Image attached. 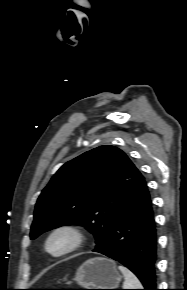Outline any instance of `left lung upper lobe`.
<instances>
[{
	"mask_svg": "<svg viewBox=\"0 0 187 290\" xmlns=\"http://www.w3.org/2000/svg\"><path fill=\"white\" fill-rule=\"evenodd\" d=\"M144 177L120 149L103 145L64 164L39 196L31 239L63 225L85 226L96 247Z\"/></svg>",
	"mask_w": 187,
	"mask_h": 290,
	"instance_id": "1",
	"label": "left lung upper lobe"
}]
</instances>
